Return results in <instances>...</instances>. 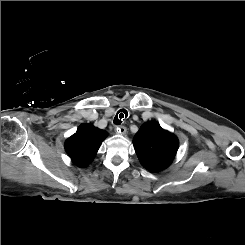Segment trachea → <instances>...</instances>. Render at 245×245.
Segmentation results:
<instances>
[{"instance_id":"3493384b","label":"trachea","mask_w":245,"mask_h":245,"mask_svg":"<svg viewBox=\"0 0 245 245\" xmlns=\"http://www.w3.org/2000/svg\"><path fill=\"white\" fill-rule=\"evenodd\" d=\"M128 117V112L125 109H120L114 117L113 123L120 125Z\"/></svg>"}]
</instances>
